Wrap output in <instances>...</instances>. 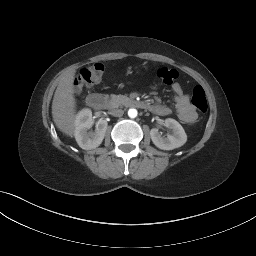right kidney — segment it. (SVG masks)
<instances>
[{"label":"right kidney","mask_w":256,"mask_h":256,"mask_svg":"<svg viewBox=\"0 0 256 256\" xmlns=\"http://www.w3.org/2000/svg\"><path fill=\"white\" fill-rule=\"evenodd\" d=\"M93 124L92 111L88 108L79 111L75 117L74 136L82 149H94L98 147L104 139L108 126L107 121L103 119L98 120L95 131H89Z\"/></svg>","instance_id":"ca27d5eb"}]
</instances>
